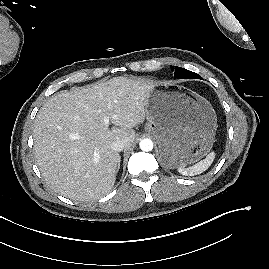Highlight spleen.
Masks as SVG:
<instances>
[{"label": "spleen", "instance_id": "1", "mask_svg": "<svg viewBox=\"0 0 269 269\" xmlns=\"http://www.w3.org/2000/svg\"><path fill=\"white\" fill-rule=\"evenodd\" d=\"M215 158V153L214 152H210L205 159L201 160L200 162L196 163L193 166H190L188 168H185V166H181L178 168V171L182 174V175H189V176H194L197 174H200L202 172H204L205 170H207L210 165L212 164L213 160Z\"/></svg>", "mask_w": 269, "mask_h": 269}]
</instances>
